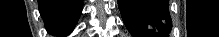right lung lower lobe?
<instances>
[{
  "label": "right lung lower lobe",
  "mask_w": 219,
  "mask_h": 37,
  "mask_svg": "<svg viewBox=\"0 0 219 37\" xmlns=\"http://www.w3.org/2000/svg\"><path fill=\"white\" fill-rule=\"evenodd\" d=\"M39 10L49 33L65 35L75 26L82 0H39Z\"/></svg>",
  "instance_id": "obj_1"
}]
</instances>
